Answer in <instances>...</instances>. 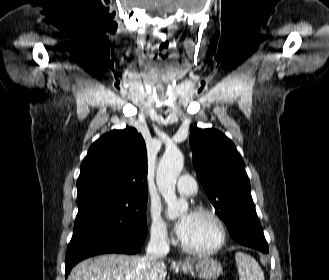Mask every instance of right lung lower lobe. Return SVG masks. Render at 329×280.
<instances>
[{
  "label": "right lung lower lobe",
  "instance_id": "1",
  "mask_svg": "<svg viewBox=\"0 0 329 280\" xmlns=\"http://www.w3.org/2000/svg\"><path fill=\"white\" fill-rule=\"evenodd\" d=\"M141 241H129L108 234L89 236L67 247L65 259V277L79 261L104 253L135 254L141 249Z\"/></svg>",
  "mask_w": 329,
  "mask_h": 280
}]
</instances>
